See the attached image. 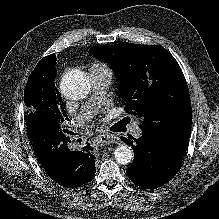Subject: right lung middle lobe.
<instances>
[{"instance_id": "right-lung-middle-lobe-1", "label": "right lung middle lobe", "mask_w": 219, "mask_h": 219, "mask_svg": "<svg viewBox=\"0 0 219 219\" xmlns=\"http://www.w3.org/2000/svg\"><path fill=\"white\" fill-rule=\"evenodd\" d=\"M55 64L54 57L41 59L28 78L24 90V103L27 109L24 117L27 127L39 122H48L63 131L64 124L68 120L61 96L54 84L57 74Z\"/></svg>"}]
</instances>
